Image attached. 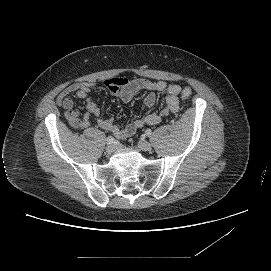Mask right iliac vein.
<instances>
[{
  "mask_svg": "<svg viewBox=\"0 0 271 271\" xmlns=\"http://www.w3.org/2000/svg\"><path fill=\"white\" fill-rule=\"evenodd\" d=\"M114 150H115V146H114L113 144H109V145L106 147V151H107L108 153H112V152H114Z\"/></svg>",
  "mask_w": 271,
  "mask_h": 271,
  "instance_id": "right-iliac-vein-1",
  "label": "right iliac vein"
}]
</instances>
